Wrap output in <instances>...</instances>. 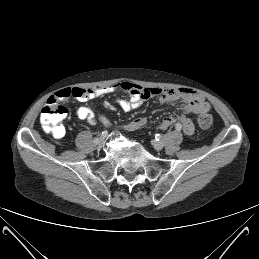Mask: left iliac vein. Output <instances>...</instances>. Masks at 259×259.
<instances>
[{
	"instance_id": "obj_1",
	"label": "left iliac vein",
	"mask_w": 259,
	"mask_h": 259,
	"mask_svg": "<svg viewBox=\"0 0 259 259\" xmlns=\"http://www.w3.org/2000/svg\"><path fill=\"white\" fill-rule=\"evenodd\" d=\"M164 146V143L162 141H155L153 143V147L156 149V150H161Z\"/></svg>"
}]
</instances>
